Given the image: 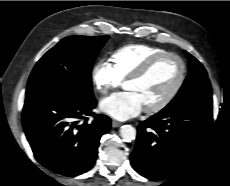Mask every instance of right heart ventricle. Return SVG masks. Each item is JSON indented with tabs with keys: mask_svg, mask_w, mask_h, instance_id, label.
Instances as JSON below:
<instances>
[{
	"mask_svg": "<svg viewBox=\"0 0 230 186\" xmlns=\"http://www.w3.org/2000/svg\"><path fill=\"white\" fill-rule=\"evenodd\" d=\"M166 52L164 49L147 44H129L116 49L110 57L111 65L119 77L126 80L148 59Z\"/></svg>",
	"mask_w": 230,
	"mask_h": 186,
	"instance_id": "e07e8e85",
	"label": "right heart ventricle"
}]
</instances>
